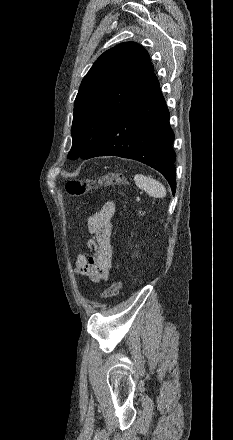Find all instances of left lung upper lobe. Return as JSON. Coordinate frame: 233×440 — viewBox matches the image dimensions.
Returning <instances> with one entry per match:
<instances>
[{"label":"left lung upper lobe","mask_w":233,"mask_h":440,"mask_svg":"<svg viewBox=\"0 0 233 440\" xmlns=\"http://www.w3.org/2000/svg\"><path fill=\"white\" fill-rule=\"evenodd\" d=\"M154 73L148 52L135 42L104 52L83 78L74 103L69 159L87 156Z\"/></svg>","instance_id":"obj_1"}]
</instances>
